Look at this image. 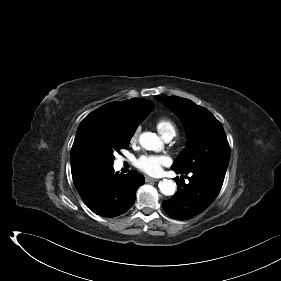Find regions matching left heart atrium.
I'll list each match as a JSON object with an SVG mask.
<instances>
[{
    "instance_id": "1",
    "label": "left heart atrium",
    "mask_w": 281,
    "mask_h": 281,
    "mask_svg": "<svg viewBox=\"0 0 281 281\" xmlns=\"http://www.w3.org/2000/svg\"><path fill=\"white\" fill-rule=\"evenodd\" d=\"M169 163L170 159L164 155H143L136 161V166L147 174L158 175Z\"/></svg>"
}]
</instances>
